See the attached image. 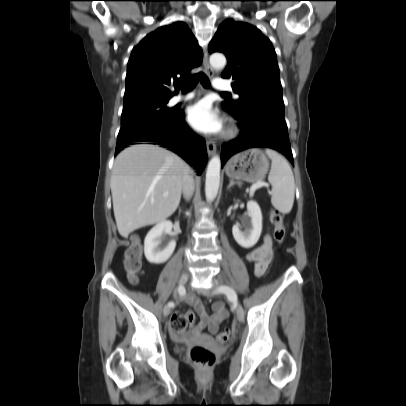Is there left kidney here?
<instances>
[{"label": "left kidney", "instance_id": "5707ae66", "mask_svg": "<svg viewBox=\"0 0 406 406\" xmlns=\"http://www.w3.org/2000/svg\"><path fill=\"white\" fill-rule=\"evenodd\" d=\"M247 211L248 218H244L243 225L237 223L232 228L235 241L246 249L253 247L258 242L262 232V213L257 202L248 201Z\"/></svg>", "mask_w": 406, "mask_h": 406}]
</instances>
